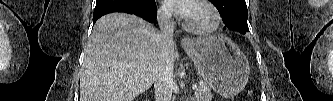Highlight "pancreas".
I'll list each match as a JSON object with an SVG mask.
<instances>
[{"label":"pancreas","mask_w":333,"mask_h":101,"mask_svg":"<svg viewBox=\"0 0 333 101\" xmlns=\"http://www.w3.org/2000/svg\"><path fill=\"white\" fill-rule=\"evenodd\" d=\"M196 101H211L213 95L211 89L206 82L199 84L197 89L194 92Z\"/></svg>","instance_id":"pancreas-1"}]
</instances>
